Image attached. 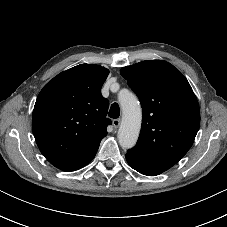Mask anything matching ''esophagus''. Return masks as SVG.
Wrapping results in <instances>:
<instances>
[{"label":"esophagus","instance_id":"34e87169","mask_svg":"<svg viewBox=\"0 0 227 227\" xmlns=\"http://www.w3.org/2000/svg\"><path fill=\"white\" fill-rule=\"evenodd\" d=\"M120 124H121V119H114L113 120V126L115 128H118L120 126Z\"/></svg>","mask_w":227,"mask_h":227}]
</instances>
